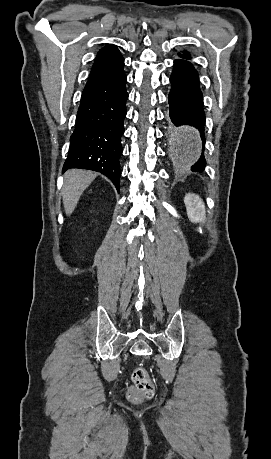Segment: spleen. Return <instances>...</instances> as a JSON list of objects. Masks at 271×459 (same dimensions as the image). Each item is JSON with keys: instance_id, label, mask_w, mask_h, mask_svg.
Instances as JSON below:
<instances>
[{"instance_id": "1", "label": "spleen", "mask_w": 271, "mask_h": 459, "mask_svg": "<svg viewBox=\"0 0 271 459\" xmlns=\"http://www.w3.org/2000/svg\"><path fill=\"white\" fill-rule=\"evenodd\" d=\"M199 200V198H197ZM185 206L187 208L188 218H190L191 222H203L205 220V208L204 206H198L197 202H193V200H188L185 196Z\"/></svg>"}]
</instances>
